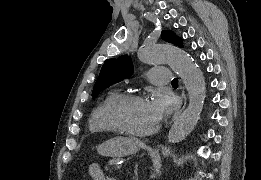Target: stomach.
<instances>
[{"label":"stomach","instance_id":"1","mask_svg":"<svg viewBox=\"0 0 261 180\" xmlns=\"http://www.w3.org/2000/svg\"><path fill=\"white\" fill-rule=\"evenodd\" d=\"M138 150L137 141L127 137H115L97 146V151L100 155L116 158L134 154Z\"/></svg>","mask_w":261,"mask_h":180}]
</instances>
